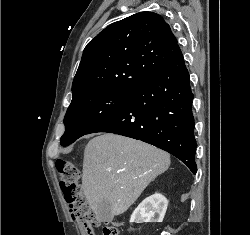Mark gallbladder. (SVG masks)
Here are the masks:
<instances>
[{"label":"gallbladder","mask_w":250,"mask_h":235,"mask_svg":"<svg viewBox=\"0 0 250 235\" xmlns=\"http://www.w3.org/2000/svg\"><path fill=\"white\" fill-rule=\"evenodd\" d=\"M112 206L108 201H102L98 209V218L100 222L109 223L113 220Z\"/></svg>","instance_id":"1"}]
</instances>
